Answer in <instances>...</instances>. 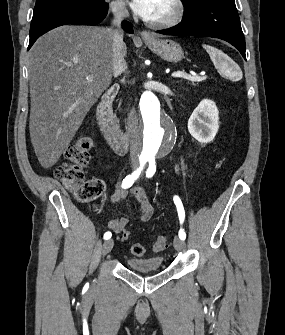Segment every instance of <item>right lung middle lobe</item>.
<instances>
[{"label":"right lung middle lobe","mask_w":285,"mask_h":335,"mask_svg":"<svg viewBox=\"0 0 285 335\" xmlns=\"http://www.w3.org/2000/svg\"><path fill=\"white\" fill-rule=\"evenodd\" d=\"M58 0H36L35 8H39L41 6L50 4L52 2H55ZM74 3H80V4H89V5H97L104 3V0H66Z\"/></svg>","instance_id":"obj_1"}]
</instances>
